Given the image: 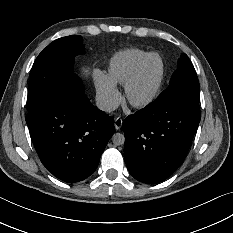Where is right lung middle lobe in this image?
<instances>
[{
    "label": "right lung middle lobe",
    "mask_w": 233,
    "mask_h": 233,
    "mask_svg": "<svg viewBox=\"0 0 233 233\" xmlns=\"http://www.w3.org/2000/svg\"><path fill=\"white\" fill-rule=\"evenodd\" d=\"M83 53L82 37L72 35L53 41L39 54L29 76L28 111L53 97L67 80L79 79L73 65Z\"/></svg>",
    "instance_id": "right-lung-middle-lobe-1"
}]
</instances>
